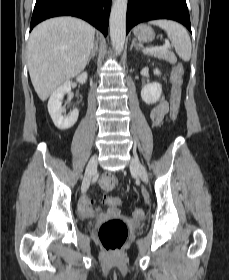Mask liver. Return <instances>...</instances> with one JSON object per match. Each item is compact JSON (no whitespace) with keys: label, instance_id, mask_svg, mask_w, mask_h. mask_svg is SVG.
<instances>
[{"label":"liver","instance_id":"6515ba94","mask_svg":"<svg viewBox=\"0 0 229 280\" xmlns=\"http://www.w3.org/2000/svg\"><path fill=\"white\" fill-rule=\"evenodd\" d=\"M94 35L90 24L73 17L52 18L33 29L28 41V70L42 101L84 70Z\"/></svg>","mask_w":229,"mask_h":280}]
</instances>
